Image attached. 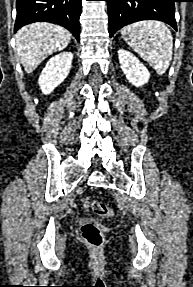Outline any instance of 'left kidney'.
Returning <instances> with one entry per match:
<instances>
[{
    "label": "left kidney",
    "instance_id": "obj_1",
    "mask_svg": "<svg viewBox=\"0 0 193 287\" xmlns=\"http://www.w3.org/2000/svg\"><path fill=\"white\" fill-rule=\"evenodd\" d=\"M121 69L131 84L140 87L148 82L150 73L139 59L125 49L118 51Z\"/></svg>",
    "mask_w": 193,
    "mask_h": 287
}]
</instances>
